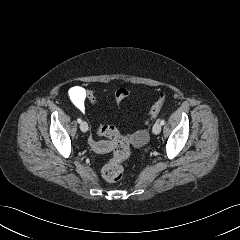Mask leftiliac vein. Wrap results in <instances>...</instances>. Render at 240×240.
<instances>
[{"instance_id": "left-iliac-vein-1", "label": "left iliac vein", "mask_w": 240, "mask_h": 240, "mask_svg": "<svg viewBox=\"0 0 240 240\" xmlns=\"http://www.w3.org/2000/svg\"><path fill=\"white\" fill-rule=\"evenodd\" d=\"M161 132V124L159 122H156L153 126V133L159 134Z\"/></svg>"}]
</instances>
